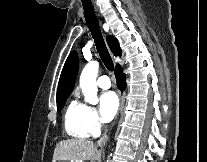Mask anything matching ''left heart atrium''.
Instances as JSON below:
<instances>
[{"label": "left heart atrium", "mask_w": 207, "mask_h": 162, "mask_svg": "<svg viewBox=\"0 0 207 162\" xmlns=\"http://www.w3.org/2000/svg\"><path fill=\"white\" fill-rule=\"evenodd\" d=\"M119 108V98L113 91L105 92L100 97V115L103 122L113 119Z\"/></svg>", "instance_id": "1"}]
</instances>
